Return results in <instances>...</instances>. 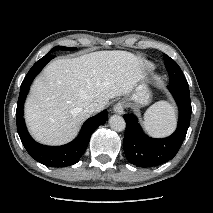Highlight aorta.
<instances>
[{
	"mask_svg": "<svg viewBox=\"0 0 213 213\" xmlns=\"http://www.w3.org/2000/svg\"><path fill=\"white\" fill-rule=\"evenodd\" d=\"M109 125L111 129L121 132L126 128V123L123 117L119 115H113L109 119Z\"/></svg>",
	"mask_w": 213,
	"mask_h": 213,
	"instance_id": "aorta-1",
	"label": "aorta"
}]
</instances>
